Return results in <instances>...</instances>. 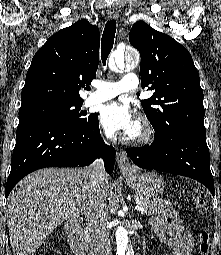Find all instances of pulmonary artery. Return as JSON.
<instances>
[{
    "instance_id": "e3ab8cb5",
    "label": "pulmonary artery",
    "mask_w": 221,
    "mask_h": 255,
    "mask_svg": "<svg viewBox=\"0 0 221 255\" xmlns=\"http://www.w3.org/2000/svg\"><path fill=\"white\" fill-rule=\"evenodd\" d=\"M138 85V77L134 73L125 74L118 82L97 81L94 86L96 90L86 99V105H94L107 101L121 93L135 90Z\"/></svg>"
}]
</instances>
